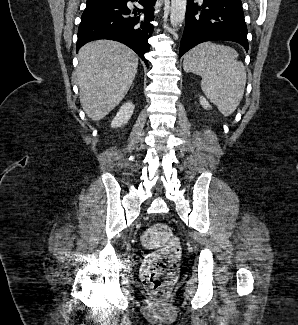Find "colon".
Segmentation results:
<instances>
[{"mask_svg": "<svg viewBox=\"0 0 298 325\" xmlns=\"http://www.w3.org/2000/svg\"><path fill=\"white\" fill-rule=\"evenodd\" d=\"M141 243L152 251L143 261L140 276L148 292L157 299H165L175 282L181 246L168 226L157 223L141 236Z\"/></svg>", "mask_w": 298, "mask_h": 325, "instance_id": "obj_1", "label": "colon"}]
</instances>
